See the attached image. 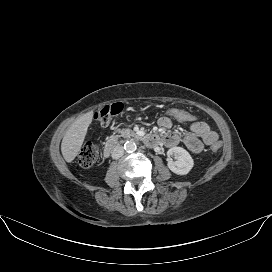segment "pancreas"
Returning <instances> with one entry per match:
<instances>
[{
    "instance_id": "1",
    "label": "pancreas",
    "mask_w": 272,
    "mask_h": 272,
    "mask_svg": "<svg viewBox=\"0 0 272 272\" xmlns=\"http://www.w3.org/2000/svg\"><path fill=\"white\" fill-rule=\"evenodd\" d=\"M119 135H116V137H128V136H134V132H132L130 129H122L117 130Z\"/></svg>"
}]
</instances>
